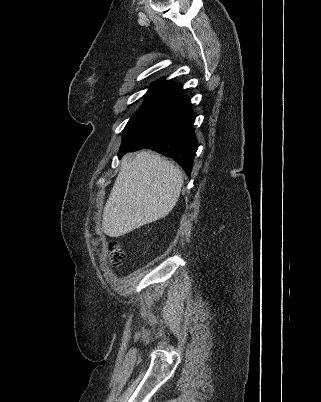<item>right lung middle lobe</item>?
<instances>
[{
    "label": "right lung middle lobe",
    "instance_id": "1",
    "mask_svg": "<svg viewBox=\"0 0 321 402\" xmlns=\"http://www.w3.org/2000/svg\"><path fill=\"white\" fill-rule=\"evenodd\" d=\"M174 90L173 87L165 86V85H152L150 89L145 94V101L140 106V108L136 111V113L131 117L129 122L127 123L124 131L137 122L140 118L149 113L152 109L157 107L162 101H164Z\"/></svg>",
    "mask_w": 321,
    "mask_h": 402
}]
</instances>
